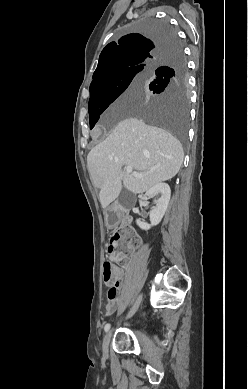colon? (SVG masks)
I'll return each instance as SVG.
<instances>
[{
    "label": "colon",
    "mask_w": 248,
    "mask_h": 389,
    "mask_svg": "<svg viewBox=\"0 0 248 389\" xmlns=\"http://www.w3.org/2000/svg\"><path fill=\"white\" fill-rule=\"evenodd\" d=\"M138 241L128 228H122L116 232L108 244V255L113 261L131 259L130 253L136 248ZM104 284L109 286L107 297L114 300L118 294L121 273L112 261L104 263L103 267Z\"/></svg>",
    "instance_id": "colon-1"
}]
</instances>
